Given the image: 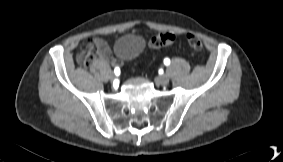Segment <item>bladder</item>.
<instances>
[{
	"label": "bladder",
	"instance_id": "31cf9c89",
	"mask_svg": "<svg viewBox=\"0 0 283 162\" xmlns=\"http://www.w3.org/2000/svg\"><path fill=\"white\" fill-rule=\"evenodd\" d=\"M144 48L143 40L134 34L120 37L115 43V54L122 60H132L140 55Z\"/></svg>",
	"mask_w": 283,
	"mask_h": 162
}]
</instances>
